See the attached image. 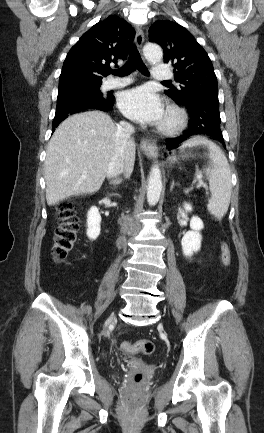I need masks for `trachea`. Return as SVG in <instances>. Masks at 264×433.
Instances as JSON below:
<instances>
[{"instance_id":"trachea-1","label":"trachea","mask_w":264,"mask_h":433,"mask_svg":"<svg viewBox=\"0 0 264 433\" xmlns=\"http://www.w3.org/2000/svg\"><path fill=\"white\" fill-rule=\"evenodd\" d=\"M138 69L142 74L149 76V72L145 64L143 63L140 54L135 46L131 48L129 59L126 64L120 69L111 70V73L116 76H126L130 74L133 70ZM165 83H170V81H163Z\"/></svg>"}]
</instances>
